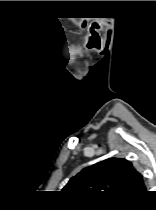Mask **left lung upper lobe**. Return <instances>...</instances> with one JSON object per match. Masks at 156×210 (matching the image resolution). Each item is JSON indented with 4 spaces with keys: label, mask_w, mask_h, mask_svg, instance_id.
<instances>
[{
    "label": "left lung upper lobe",
    "mask_w": 156,
    "mask_h": 210,
    "mask_svg": "<svg viewBox=\"0 0 156 210\" xmlns=\"http://www.w3.org/2000/svg\"><path fill=\"white\" fill-rule=\"evenodd\" d=\"M77 193H112L118 196H136L146 193L143 176L131 162L109 158L83 169L72 177L63 189Z\"/></svg>",
    "instance_id": "left-lung-upper-lobe-1"
}]
</instances>
